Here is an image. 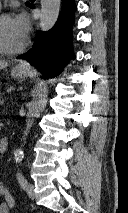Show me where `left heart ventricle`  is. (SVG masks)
I'll use <instances>...</instances> for the list:
<instances>
[{"label":"left heart ventricle","mask_w":128,"mask_h":213,"mask_svg":"<svg viewBox=\"0 0 128 213\" xmlns=\"http://www.w3.org/2000/svg\"><path fill=\"white\" fill-rule=\"evenodd\" d=\"M0 36L2 42L9 48H17L22 45L11 18H5L0 22Z\"/></svg>","instance_id":"obj_1"}]
</instances>
